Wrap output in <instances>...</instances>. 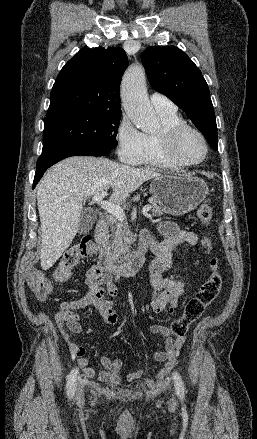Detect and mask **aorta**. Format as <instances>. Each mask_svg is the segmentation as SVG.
<instances>
[{"instance_id":"obj_1","label":"aorta","mask_w":257,"mask_h":439,"mask_svg":"<svg viewBox=\"0 0 257 439\" xmlns=\"http://www.w3.org/2000/svg\"><path fill=\"white\" fill-rule=\"evenodd\" d=\"M123 108L131 121L143 132H154L159 128L158 118L151 107L142 67L135 66L123 77L121 84Z\"/></svg>"}]
</instances>
